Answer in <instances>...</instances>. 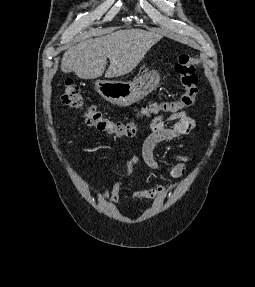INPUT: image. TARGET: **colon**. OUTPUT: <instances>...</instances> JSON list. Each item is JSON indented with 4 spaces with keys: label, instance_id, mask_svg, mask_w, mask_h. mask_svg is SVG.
Returning a JSON list of instances; mask_svg holds the SVG:
<instances>
[{
    "label": "colon",
    "instance_id": "5ec220e1",
    "mask_svg": "<svg viewBox=\"0 0 255 287\" xmlns=\"http://www.w3.org/2000/svg\"><path fill=\"white\" fill-rule=\"evenodd\" d=\"M197 65L198 60L195 57L187 54L179 55L174 66L175 73L184 89L179 99L176 101L149 103L141 109L136 119L126 122L110 120L94 105H87L81 90L72 81L66 82L61 95V101L70 108L82 110L85 123L97 131L113 137H131L137 132V119L156 115L161 112L176 113L195 103L198 93Z\"/></svg>",
    "mask_w": 255,
    "mask_h": 287
}]
</instances>
